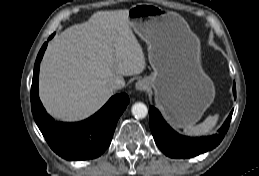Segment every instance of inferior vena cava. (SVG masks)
Here are the masks:
<instances>
[{
    "label": "inferior vena cava",
    "instance_id": "602c4592",
    "mask_svg": "<svg viewBox=\"0 0 259 176\" xmlns=\"http://www.w3.org/2000/svg\"><path fill=\"white\" fill-rule=\"evenodd\" d=\"M110 85L113 89H121L125 86V81L123 77H117L111 81Z\"/></svg>",
    "mask_w": 259,
    "mask_h": 176
}]
</instances>
